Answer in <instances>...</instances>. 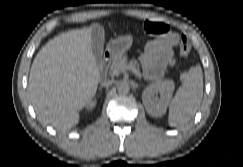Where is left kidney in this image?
I'll use <instances>...</instances> for the list:
<instances>
[{
	"label": "left kidney",
	"instance_id": "left-kidney-1",
	"mask_svg": "<svg viewBox=\"0 0 243 167\" xmlns=\"http://www.w3.org/2000/svg\"><path fill=\"white\" fill-rule=\"evenodd\" d=\"M174 90L172 81H162L149 85L142 93L143 104L151 116L160 117L167 109ZM159 94V98H155Z\"/></svg>",
	"mask_w": 243,
	"mask_h": 167
}]
</instances>
